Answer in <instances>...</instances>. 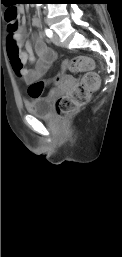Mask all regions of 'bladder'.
<instances>
[{
    "mask_svg": "<svg viewBox=\"0 0 122 257\" xmlns=\"http://www.w3.org/2000/svg\"><path fill=\"white\" fill-rule=\"evenodd\" d=\"M25 108L32 115L47 117L52 110V99L49 96L34 97L26 103Z\"/></svg>",
    "mask_w": 122,
    "mask_h": 257,
    "instance_id": "obj_1",
    "label": "bladder"
}]
</instances>
